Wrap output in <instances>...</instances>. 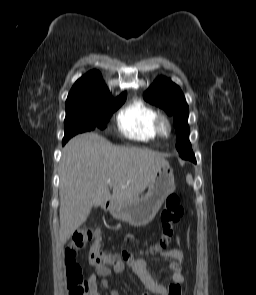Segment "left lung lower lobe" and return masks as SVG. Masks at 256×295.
<instances>
[{
	"mask_svg": "<svg viewBox=\"0 0 256 295\" xmlns=\"http://www.w3.org/2000/svg\"><path fill=\"white\" fill-rule=\"evenodd\" d=\"M186 157H187V159H189V160H191V161H193V162H196L195 156H194V154H193L192 151H189V152L186 154Z\"/></svg>",
	"mask_w": 256,
	"mask_h": 295,
	"instance_id": "0a47b994",
	"label": "left lung lower lobe"
}]
</instances>
